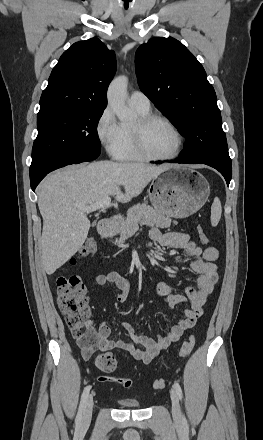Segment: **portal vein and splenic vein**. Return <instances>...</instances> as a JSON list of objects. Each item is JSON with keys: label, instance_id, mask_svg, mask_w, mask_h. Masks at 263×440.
<instances>
[{"label": "portal vein and splenic vein", "instance_id": "obj_1", "mask_svg": "<svg viewBox=\"0 0 263 440\" xmlns=\"http://www.w3.org/2000/svg\"><path fill=\"white\" fill-rule=\"evenodd\" d=\"M111 206H112L111 198L106 197L103 200L86 207L85 210L87 213H90V212L96 211L98 209H107V208H110Z\"/></svg>", "mask_w": 263, "mask_h": 440}]
</instances>
